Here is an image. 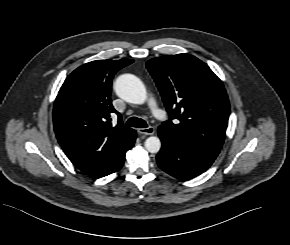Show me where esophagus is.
Masks as SVG:
<instances>
[{
  "label": "esophagus",
  "mask_w": 290,
  "mask_h": 245,
  "mask_svg": "<svg viewBox=\"0 0 290 245\" xmlns=\"http://www.w3.org/2000/svg\"><path fill=\"white\" fill-rule=\"evenodd\" d=\"M138 132L144 135H153L155 133V128L152 126H149L147 128H140L138 129Z\"/></svg>",
  "instance_id": "34e87169"
}]
</instances>
